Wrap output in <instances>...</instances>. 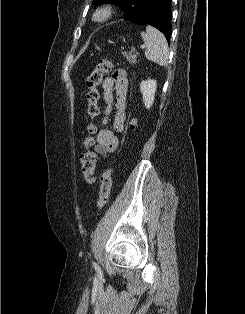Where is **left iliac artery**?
<instances>
[{
    "instance_id": "left-iliac-artery-1",
    "label": "left iliac artery",
    "mask_w": 245,
    "mask_h": 314,
    "mask_svg": "<svg viewBox=\"0 0 245 314\" xmlns=\"http://www.w3.org/2000/svg\"><path fill=\"white\" fill-rule=\"evenodd\" d=\"M93 265L95 266V268H98L97 264L95 262H93Z\"/></svg>"
}]
</instances>
